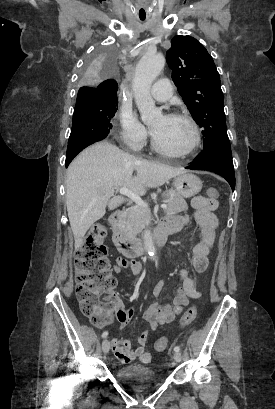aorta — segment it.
<instances>
[{"instance_id":"aorta-1","label":"aorta","mask_w":275,"mask_h":409,"mask_svg":"<svg viewBox=\"0 0 275 409\" xmlns=\"http://www.w3.org/2000/svg\"><path fill=\"white\" fill-rule=\"evenodd\" d=\"M164 64L163 51H144L136 66V74L133 78L134 100L146 124L162 116V108H157L150 94V86L154 78L163 70ZM144 247L149 257L155 261L156 251L150 231L144 233Z\"/></svg>"}]
</instances>
